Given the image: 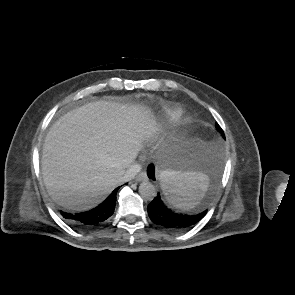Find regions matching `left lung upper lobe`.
<instances>
[{
    "mask_svg": "<svg viewBox=\"0 0 295 295\" xmlns=\"http://www.w3.org/2000/svg\"><path fill=\"white\" fill-rule=\"evenodd\" d=\"M217 129H218V131H220L222 133L223 137H225L224 133H223V130L221 129V127L219 125H217Z\"/></svg>",
    "mask_w": 295,
    "mask_h": 295,
    "instance_id": "5c2ea615",
    "label": "left lung upper lobe"
}]
</instances>
